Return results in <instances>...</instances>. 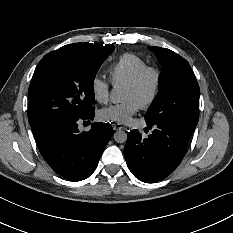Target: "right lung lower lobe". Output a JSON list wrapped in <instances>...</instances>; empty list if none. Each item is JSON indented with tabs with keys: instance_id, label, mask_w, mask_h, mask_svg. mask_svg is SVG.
I'll return each instance as SVG.
<instances>
[{
	"instance_id": "1",
	"label": "right lung lower lobe",
	"mask_w": 233,
	"mask_h": 233,
	"mask_svg": "<svg viewBox=\"0 0 233 233\" xmlns=\"http://www.w3.org/2000/svg\"><path fill=\"white\" fill-rule=\"evenodd\" d=\"M93 108L79 118H66L31 127L38 148L50 167L62 177L80 181L89 177L113 135L109 123H93L89 132L78 124L93 120Z\"/></svg>"
}]
</instances>
